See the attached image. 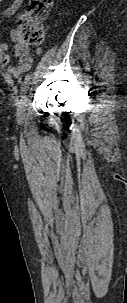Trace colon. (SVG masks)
I'll use <instances>...</instances> for the list:
<instances>
[{"instance_id":"5ec220e1","label":"colon","mask_w":127,"mask_h":303,"mask_svg":"<svg viewBox=\"0 0 127 303\" xmlns=\"http://www.w3.org/2000/svg\"><path fill=\"white\" fill-rule=\"evenodd\" d=\"M51 0H31L27 14L18 21L16 37L25 46L40 45L45 38V29L42 24L47 15Z\"/></svg>"}]
</instances>
